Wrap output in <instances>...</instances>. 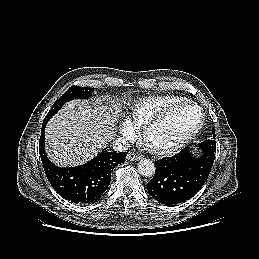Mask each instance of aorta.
Returning <instances> with one entry per match:
<instances>
[{"label":"aorta","mask_w":259,"mask_h":259,"mask_svg":"<svg viewBox=\"0 0 259 259\" xmlns=\"http://www.w3.org/2000/svg\"><path fill=\"white\" fill-rule=\"evenodd\" d=\"M138 171L141 175L150 177L155 173V164L149 159H142L138 163Z\"/></svg>","instance_id":"aorta-1"}]
</instances>
